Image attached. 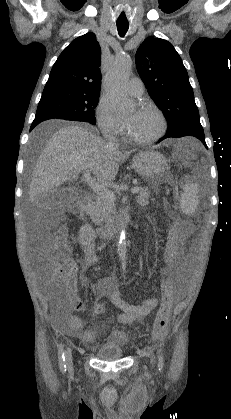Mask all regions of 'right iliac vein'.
I'll list each match as a JSON object with an SVG mask.
<instances>
[{
	"label": "right iliac vein",
	"instance_id": "right-iliac-vein-1",
	"mask_svg": "<svg viewBox=\"0 0 231 419\" xmlns=\"http://www.w3.org/2000/svg\"><path fill=\"white\" fill-rule=\"evenodd\" d=\"M65 359H66V364H67L68 369L71 370L73 367V359H72V351L69 347L65 351Z\"/></svg>",
	"mask_w": 231,
	"mask_h": 419
}]
</instances>
